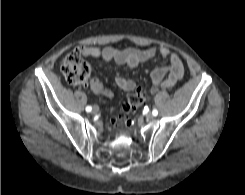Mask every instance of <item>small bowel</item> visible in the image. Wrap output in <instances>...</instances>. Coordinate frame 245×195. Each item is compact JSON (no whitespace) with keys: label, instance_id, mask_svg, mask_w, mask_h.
Returning a JSON list of instances; mask_svg holds the SVG:
<instances>
[{"label":"small bowel","instance_id":"small-bowel-1","mask_svg":"<svg viewBox=\"0 0 245 195\" xmlns=\"http://www.w3.org/2000/svg\"><path fill=\"white\" fill-rule=\"evenodd\" d=\"M85 56L102 58L106 62H113L119 65H127L131 68L136 67L142 62L153 59L158 53L164 60H168V65L155 68L151 73V93L157 92L159 87L169 88L179 82L184 76V66L180 57L171 52L166 47L157 49L150 47L147 49H116L114 47L90 46L82 49ZM116 85L127 92L135 89V82L131 79L118 76L115 79ZM90 90L95 94H102L108 98L113 97V92L105 87L97 77L91 79Z\"/></svg>","mask_w":245,"mask_h":195}]
</instances>
